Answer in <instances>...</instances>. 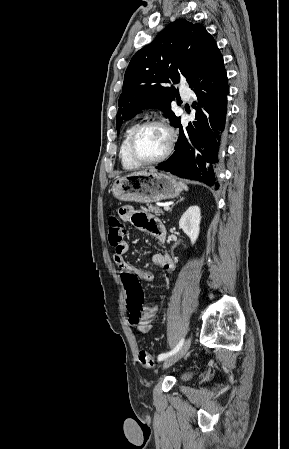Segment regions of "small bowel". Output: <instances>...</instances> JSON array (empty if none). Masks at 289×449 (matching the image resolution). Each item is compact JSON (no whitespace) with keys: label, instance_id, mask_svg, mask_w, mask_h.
Here are the masks:
<instances>
[{"label":"small bowel","instance_id":"c3829d8e","mask_svg":"<svg viewBox=\"0 0 289 449\" xmlns=\"http://www.w3.org/2000/svg\"><path fill=\"white\" fill-rule=\"evenodd\" d=\"M120 216L123 220L130 222L135 227L143 230L150 235L154 236L158 241L163 242L166 237V231L163 224L159 219L153 215L141 211L135 210L132 207L126 206L120 209ZM129 251V244L126 242L121 243L118 247H115L113 259L120 271H133L134 276L137 279L152 281L154 280V274L146 269L133 266L125 259V254ZM152 262L154 265L159 266L167 272L174 270L175 265L171 257L166 253H154L152 254ZM158 311L156 304H147L143 308V314L140 324L137 329L142 333H148L152 329V321L155 318Z\"/></svg>","mask_w":289,"mask_h":449}]
</instances>
